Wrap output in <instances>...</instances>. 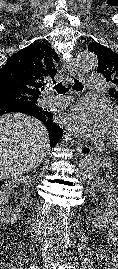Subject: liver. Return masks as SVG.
<instances>
[{
    "mask_svg": "<svg viewBox=\"0 0 118 269\" xmlns=\"http://www.w3.org/2000/svg\"><path fill=\"white\" fill-rule=\"evenodd\" d=\"M49 151L48 131L42 122L21 113L0 117V180L31 170Z\"/></svg>",
    "mask_w": 118,
    "mask_h": 269,
    "instance_id": "6515ba94",
    "label": "liver"
}]
</instances>
